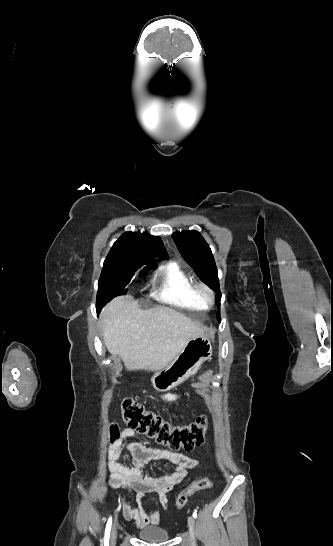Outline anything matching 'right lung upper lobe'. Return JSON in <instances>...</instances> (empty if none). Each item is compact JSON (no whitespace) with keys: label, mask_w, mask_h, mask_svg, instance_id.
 I'll return each mask as SVG.
<instances>
[{"label":"right lung upper lobe","mask_w":333,"mask_h":546,"mask_svg":"<svg viewBox=\"0 0 333 546\" xmlns=\"http://www.w3.org/2000/svg\"><path fill=\"white\" fill-rule=\"evenodd\" d=\"M160 253L167 257L160 237L147 232H125L113 244L106 259L123 262L129 270L138 271L148 267L155 269L153 259Z\"/></svg>","instance_id":"1"}]
</instances>
